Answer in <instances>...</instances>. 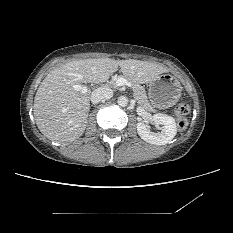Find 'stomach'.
I'll return each mask as SVG.
<instances>
[{"mask_svg":"<svg viewBox=\"0 0 233 233\" xmlns=\"http://www.w3.org/2000/svg\"><path fill=\"white\" fill-rule=\"evenodd\" d=\"M182 87L179 80L171 74H161L149 82L148 98L158 108H169L180 98Z\"/></svg>","mask_w":233,"mask_h":233,"instance_id":"stomach-1","label":"stomach"}]
</instances>
